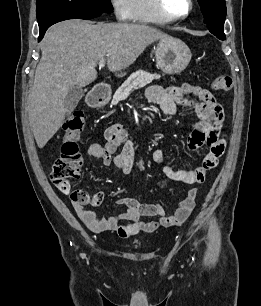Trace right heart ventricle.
I'll list each match as a JSON object with an SVG mask.
<instances>
[{
  "instance_id": "obj_1",
  "label": "right heart ventricle",
  "mask_w": 261,
  "mask_h": 306,
  "mask_svg": "<svg viewBox=\"0 0 261 306\" xmlns=\"http://www.w3.org/2000/svg\"><path fill=\"white\" fill-rule=\"evenodd\" d=\"M130 19L141 23H167L154 9L152 0H130Z\"/></svg>"
}]
</instances>
